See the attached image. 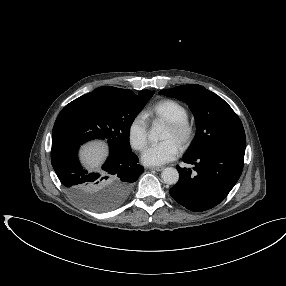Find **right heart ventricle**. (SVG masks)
I'll list each match as a JSON object with an SVG mask.
<instances>
[{"mask_svg":"<svg viewBox=\"0 0 286 286\" xmlns=\"http://www.w3.org/2000/svg\"><path fill=\"white\" fill-rule=\"evenodd\" d=\"M147 115L154 121H181L188 119L187 108L172 99H164L151 105L147 110Z\"/></svg>","mask_w":286,"mask_h":286,"instance_id":"obj_1","label":"right heart ventricle"}]
</instances>
